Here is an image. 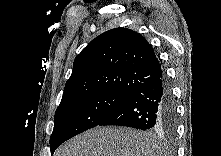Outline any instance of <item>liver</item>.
<instances>
[{
	"mask_svg": "<svg viewBox=\"0 0 221 156\" xmlns=\"http://www.w3.org/2000/svg\"><path fill=\"white\" fill-rule=\"evenodd\" d=\"M156 135L127 127H95L64 143L54 156H162Z\"/></svg>",
	"mask_w": 221,
	"mask_h": 156,
	"instance_id": "obj_1",
	"label": "liver"
}]
</instances>
